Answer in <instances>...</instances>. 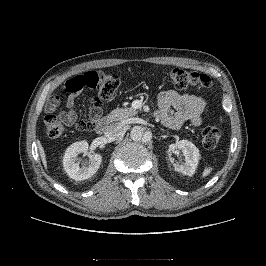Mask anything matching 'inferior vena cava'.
I'll return each instance as SVG.
<instances>
[{
	"instance_id": "602c4592",
	"label": "inferior vena cava",
	"mask_w": 266,
	"mask_h": 266,
	"mask_svg": "<svg viewBox=\"0 0 266 266\" xmlns=\"http://www.w3.org/2000/svg\"><path fill=\"white\" fill-rule=\"evenodd\" d=\"M122 129H123L122 123H112L107 127V129L105 131V137L109 141H114L120 137V135L122 133Z\"/></svg>"
}]
</instances>
